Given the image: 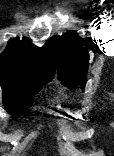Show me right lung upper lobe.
I'll return each mask as SVG.
<instances>
[{
	"label": "right lung upper lobe",
	"instance_id": "cb5924a9",
	"mask_svg": "<svg viewBox=\"0 0 114 156\" xmlns=\"http://www.w3.org/2000/svg\"><path fill=\"white\" fill-rule=\"evenodd\" d=\"M0 80L19 82L27 78L54 77L55 69L44 48L33 45L29 39L17 38L8 42L0 56Z\"/></svg>",
	"mask_w": 114,
	"mask_h": 156
}]
</instances>
